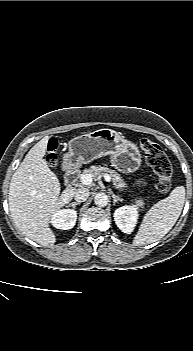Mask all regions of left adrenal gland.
<instances>
[{
  "instance_id": "obj_1",
  "label": "left adrenal gland",
  "mask_w": 193,
  "mask_h": 351,
  "mask_svg": "<svg viewBox=\"0 0 193 351\" xmlns=\"http://www.w3.org/2000/svg\"><path fill=\"white\" fill-rule=\"evenodd\" d=\"M111 194H112L113 204L114 205L116 204V202L122 201V198H120L119 196H116L113 192Z\"/></svg>"
}]
</instances>
